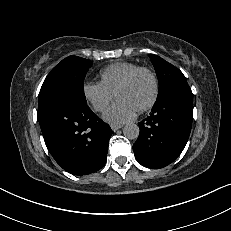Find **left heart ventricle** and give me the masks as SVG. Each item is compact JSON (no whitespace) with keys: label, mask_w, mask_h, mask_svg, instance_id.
I'll return each instance as SVG.
<instances>
[{"label":"left heart ventricle","mask_w":231,"mask_h":231,"mask_svg":"<svg viewBox=\"0 0 231 231\" xmlns=\"http://www.w3.org/2000/svg\"><path fill=\"white\" fill-rule=\"evenodd\" d=\"M152 93V79L148 74L143 73L131 85L119 91L117 98L126 101L137 111L149 101Z\"/></svg>","instance_id":"obj_1"}]
</instances>
